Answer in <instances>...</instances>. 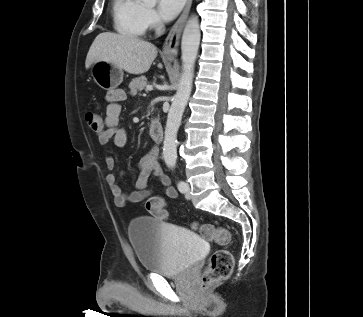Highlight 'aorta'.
<instances>
[{"label": "aorta", "instance_id": "1", "mask_svg": "<svg viewBox=\"0 0 363 317\" xmlns=\"http://www.w3.org/2000/svg\"><path fill=\"white\" fill-rule=\"evenodd\" d=\"M143 2L154 4L156 0H143ZM200 38L199 20L197 16L193 15L186 22L182 35V74L177 92L172 99L165 128L163 156L165 163L171 168L175 166L177 160V132L192 91L194 65L198 54Z\"/></svg>", "mask_w": 363, "mask_h": 317}]
</instances>
